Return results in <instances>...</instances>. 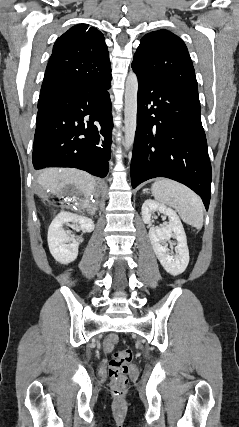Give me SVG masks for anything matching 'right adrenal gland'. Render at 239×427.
<instances>
[{"label": "right adrenal gland", "instance_id": "1", "mask_svg": "<svg viewBox=\"0 0 239 427\" xmlns=\"http://www.w3.org/2000/svg\"><path fill=\"white\" fill-rule=\"evenodd\" d=\"M90 210H92L93 212H95L96 209V205H94V207L91 209V206L88 207Z\"/></svg>", "mask_w": 239, "mask_h": 427}]
</instances>
